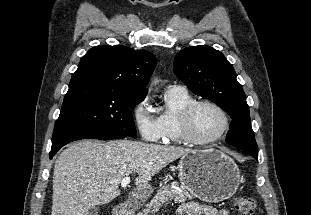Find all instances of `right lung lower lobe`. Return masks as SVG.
<instances>
[{
    "label": "right lung lower lobe",
    "mask_w": 311,
    "mask_h": 215,
    "mask_svg": "<svg viewBox=\"0 0 311 215\" xmlns=\"http://www.w3.org/2000/svg\"><path fill=\"white\" fill-rule=\"evenodd\" d=\"M123 137H126V135H122V134L78 135V136L58 140V141L53 142V144H52V148L50 151V159L56 154V152L61 147H63L64 145H66L72 141H76V140H80V139H88V138H91V139L96 138V139H101V140H111V139L123 138Z\"/></svg>",
    "instance_id": "obj_1"
}]
</instances>
